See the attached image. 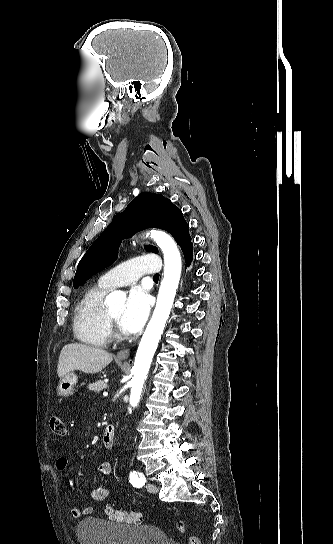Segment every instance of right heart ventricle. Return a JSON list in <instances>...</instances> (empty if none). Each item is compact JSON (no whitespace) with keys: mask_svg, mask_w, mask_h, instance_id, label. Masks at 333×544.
<instances>
[{"mask_svg":"<svg viewBox=\"0 0 333 544\" xmlns=\"http://www.w3.org/2000/svg\"><path fill=\"white\" fill-rule=\"evenodd\" d=\"M109 288L100 283L89 288L78 302L74 315V333L81 342L104 347L110 340V324L103 298Z\"/></svg>","mask_w":333,"mask_h":544,"instance_id":"e07e8e85","label":"right heart ventricle"}]
</instances>
